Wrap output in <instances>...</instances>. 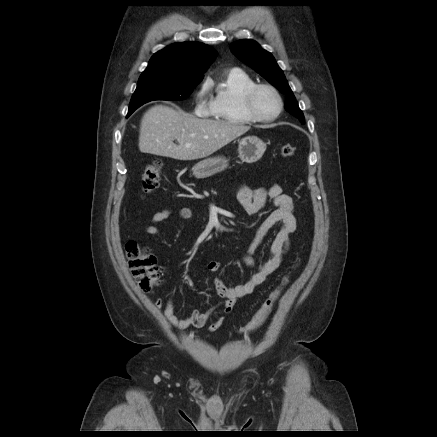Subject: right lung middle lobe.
Here are the masks:
<instances>
[{
    "mask_svg": "<svg viewBox=\"0 0 437 437\" xmlns=\"http://www.w3.org/2000/svg\"><path fill=\"white\" fill-rule=\"evenodd\" d=\"M202 79H185L164 71L143 72L132 96L128 115L153 100H184Z\"/></svg>",
    "mask_w": 437,
    "mask_h": 437,
    "instance_id": "obj_1",
    "label": "right lung middle lobe"
}]
</instances>
